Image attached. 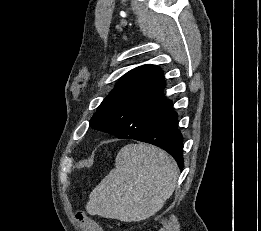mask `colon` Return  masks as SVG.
Masks as SVG:
<instances>
[{
  "label": "colon",
  "mask_w": 261,
  "mask_h": 231,
  "mask_svg": "<svg viewBox=\"0 0 261 231\" xmlns=\"http://www.w3.org/2000/svg\"><path fill=\"white\" fill-rule=\"evenodd\" d=\"M75 219L81 225L82 228L87 226L88 223H89L88 218H87V214L82 210H79V211L76 212Z\"/></svg>",
  "instance_id": "obj_1"
}]
</instances>
